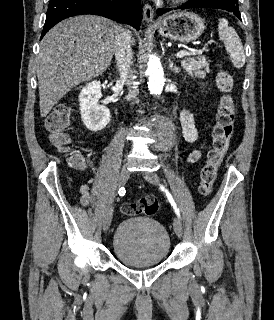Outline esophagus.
<instances>
[{"label": "esophagus", "mask_w": 274, "mask_h": 320, "mask_svg": "<svg viewBox=\"0 0 274 320\" xmlns=\"http://www.w3.org/2000/svg\"><path fill=\"white\" fill-rule=\"evenodd\" d=\"M153 18H154L153 8L148 3H145L143 7V20L148 24H151L153 22Z\"/></svg>", "instance_id": "obj_1"}]
</instances>
